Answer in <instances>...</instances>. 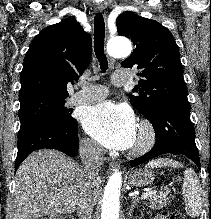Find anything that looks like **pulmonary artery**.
Segmentation results:
<instances>
[{
  "mask_svg": "<svg viewBox=\"0 0 211 219\" xmlns=\"http://www.w3.org/2000/svg\"><path fill=\"white\" fill-rule=\"evenodd\" d=\"M128 80L126 71H116L112 76L115 85H123ZM108 95L107 87L103 85L85 84L82 90L76 92L69 98V103L73 105H88L104 99Z\"/></svg>",
  "mask_w": 211,
  "mask_h": 219,
  "instance_id": "e3ab8cb5",
  "label": "pulmonary artery"
}]
</instances>
